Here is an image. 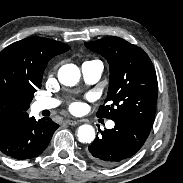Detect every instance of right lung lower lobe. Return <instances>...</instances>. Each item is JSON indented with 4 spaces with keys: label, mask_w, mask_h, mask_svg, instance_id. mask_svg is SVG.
<instances>
[{
    "label": "right lung lower lobe",
    "mask_w": 183,
    "mask_h": 183,
    "mask_svg": "<svg viewBox=\"0 0 183 183\" xmlns=\"http://www.w3.org/2000/svg\"><path fill=\"white\" fill-rule=\"evenodd\" d=\"M58 127L50 118L36 121L26 112L18 114L0 129V151L17 160L36 157L46 149Z\"/></svg>",
    "instance_id": "right-lung-lower-lobe-1"
}]
</instances>
